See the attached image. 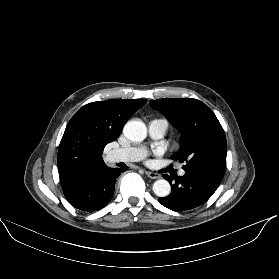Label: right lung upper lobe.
<instances>
[{"label": "right lung upper lobe", "mask_w": 279, "mask_h": 279, "mask_svg": "<svg viewBox=\"0 0 279 279\" xmlns=\"http://www.w3.org/2000/svg\"><path fill=\"white\" fill-rule=\"evenodd\" d=\"M146 99H109L83 106L69 121L58 150L62 186L108 169L102 153Z\"/></svg>", "instance_id": "obj_1"}]
</instances>
